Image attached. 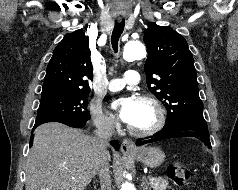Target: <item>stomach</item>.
Wrapping results in <instances>:
<instances>
[{
    "label": "stomach",
    "instance_id": "stomach-1",
    "mask_svg": "<svg viewBox=\"0 0 238 190\" xmlns=\"http://www.w3.org/2000/svg\"><path fill=\"white\" fill-rule=\"evenodd\" d=\"M132 156L147 167L156 168L165 160V154L157 147H141Z\"/></svg>",
    "mask_w": 238,
    "mask_h": 190
}]
</instances>
